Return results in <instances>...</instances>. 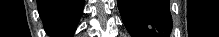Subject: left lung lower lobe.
I'll use <instances>...</instances> for the list:
<instances>
[{
  "label": "left lung lower lobe",
  "instance_id": "0a47b994",
  "mask_svg": "<svg viewBox=\"0 0 219 37\" xmlns=\"http://www.w3.org/2000/svg\"><path fill=\"white\" fill-rule=\"evenodd\" d=\"M169 0H118V8L132 37H170Z\"/></svg>",
  "mask_w": 219,
  "mask_h": 37
}]
</instances>
